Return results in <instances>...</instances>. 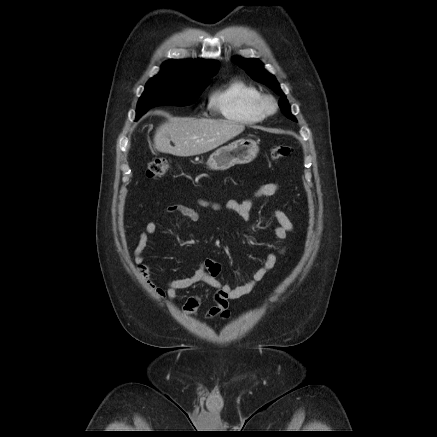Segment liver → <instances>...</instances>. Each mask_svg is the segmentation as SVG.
Segmentation results:
<instances>
[{
    "instance_id": "6515ba94",
    "label": "liver",
    "mask_w": 437,
    "mask_h": 437,
    "mask_svg": "<svg viewBox=\"0 0 437 437\" xmlns=\"http://www.w3.org/2000/svg\"><path fill=\"white\" fill-rule=\"evenodd\" d=\"M244 130L243 124L229 120L174 118L157 128L154 148L181 157L195 156L217 148Z\"/></svg>"
}]
</instances>
